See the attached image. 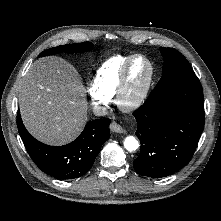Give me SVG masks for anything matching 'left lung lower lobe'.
<instances>
[{"instance_id":"1","label":"left lung lower lobe","mask_w":221,"mask_h":221,"mask_svg":"<svg viewBox=\"0 0 221 221\" xmlns=\"http://www.w3.org/2000/svg\"><path fill=\"white\" fill-rule=\"evenodd\" d=\"M141 149L133 162L140 175L160 178L180 170L191 160L204 129V98L196 76L153 89L133 113Z\"/></svg>"}]
</instances>
